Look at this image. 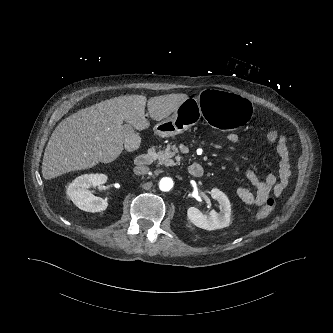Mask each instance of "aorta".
I'll return each instance as SVG.
<instances>
[{
  "mask_svg": "<svg viewBox=\"0 0 333 333\" xmlns=\"http://www.w3.org/2000/svg\"><path fill=\"white\" fill-rule=\"evenodd\" d=\"M173 180L169 177H163L159 182V188L161 191L167 192L173 188Z\"/></svg>",
  "mask_w": 333,
  "mask_h": 333,
  "instance_id": "aorta-1",
  "label": "aorta"
}]
</instances>
